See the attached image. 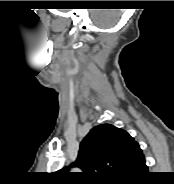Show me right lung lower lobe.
I'll return each instance as SVG.
<instances>
[{"instance_id":"obj_1","label":"right lung lower lobe","mask_w":174,"mask_h":184,"mask_svg":"<svg viewBox=\"0 0 174 184\" xmlns=\"http://www.w3.org/2000/svg\"><path fill=\"white\" fill-rule=\"evenodd\" d=\"M148 167L145 164L144 157L140 159L126 175L119 180L118 184H142L148 177Z\"/></svg>"}]
</instances>
